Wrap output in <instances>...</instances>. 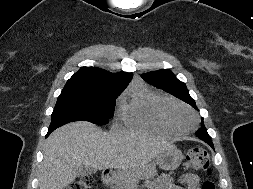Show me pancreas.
<instances>
[{
	"mask_svg": "<svg viewBox=\"0 0 253 189\" xmlns=\"http://www.w3.org/2000/svg\"><path fill=\"white\" fill-rule=\"evenodd\" d=\"M157 175L154 165H146L142 168L123 169L118 171L113 177L112 189H129L138 179H150Z\"/></svg>",
	"mask_w": 253,
	"mask_h": 189,
	"instance_id": "cf45deb5",
	"label": "pancreas"
}]
</instances>
